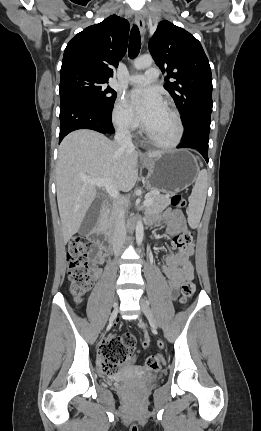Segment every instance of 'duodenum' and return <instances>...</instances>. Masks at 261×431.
<instances>
[{
    "label": "duodenum",
    "instance_id": "1",
    "mask_svg": "<svg viewBox=\"0 0 261 431\" xmlns=\"http://www.w3.org/2000/svg\"><path fill=\"white\" fill-rule=\"evenodd\" d=\"M107 207L103 206L94 232L91 234V239L106 253H109L112 248V238L106 226Z\"/></svg>",
    "mask_w": 261,
    "mask_h": 431
}]
</instances>
